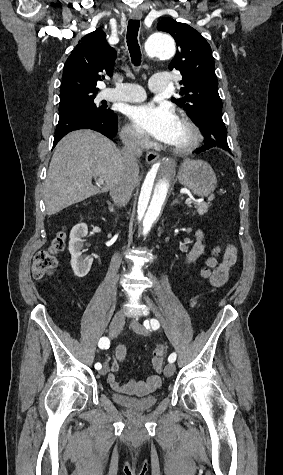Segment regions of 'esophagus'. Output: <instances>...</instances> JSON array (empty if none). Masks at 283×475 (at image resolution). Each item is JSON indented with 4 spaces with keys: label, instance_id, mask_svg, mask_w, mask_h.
Wrapping results in <instances>:
<instances>
[{
    "label": "esophagus",
    "instance_id": "34e87169",
    "mask_svg": "<svg viewBox=\"0 0 283 475\" xmlns=\"http://www.w3.org/2000/svg\"><path fill=\"white\" fill-rule=\"evenodd\" d=\"M130 18L133 20H140L142 18V12L141 11H133L130 14ZM160 159V156L157 152H148L146 154V162L149 164H152ZM170 163H174L172 159L169 160Z\"/></svg>",
    "mask_w": 283,
    "mask_h": 475
}]
</instances>
